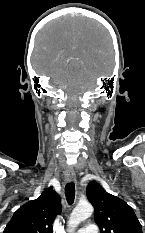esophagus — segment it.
I'll return each mask as SVG.
<instances>
[{
    "instance_id": "esophagus-1",
    "label": "esophagus",
    "mask_w": 145,
    "mask_h": 233,
    "mask_svg": "<svg viewBox=\"0 0 145 233\" xmlns=\"http://www.w3.org/2000/svg\"><path fill=\"white\" fill-rule=\"evenodd\" d=\"M65 179L67 182H73L76 180V175L74 170L68 169L65 173Z\"/></svg>"
}]
</instances>
